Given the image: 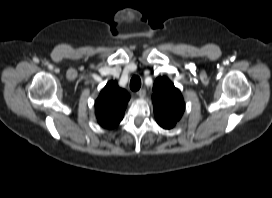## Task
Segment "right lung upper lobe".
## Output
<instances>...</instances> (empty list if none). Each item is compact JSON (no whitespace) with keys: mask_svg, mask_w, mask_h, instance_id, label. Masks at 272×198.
Returning <instances> with one entry per match:
<instances>
[{"mask_svg":"<svg viewBox=\"0 0 272 198\" xmlns=\"http://www.w3.org/2000/svg\"><path fill=\"white\" fill-rule=\"evenodd\" d=\"M129 99L130 95L115 81L108 82L95 101L98 123L108 129L116 127L123 119Z\"/></svg>","mask_w":272,"mask_h":198,"instance_id":"obj_1","label":"right lung upper lobe"}]
</instances>
